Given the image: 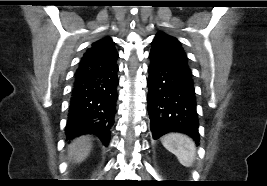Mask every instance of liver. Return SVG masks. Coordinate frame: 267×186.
<instances>
[{
	"label": "liver",
	"mask_w": 267,
	"mask_h": 186,
	"mask_svg": "<svg viewBox=\"0 0 267 186\" xmlns=\"http://www.w3.org/2000/svg\"><path fill=\"white\" fill-rule=\"evenodd\" d=\"M92 148V141L89 136H82L74 139L68 146V153L75 163H81L89 155Z\"/></svg>",
	"instance_id": "1"
}]
</instances>
